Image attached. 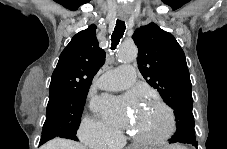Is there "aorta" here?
Masks as SVG:
<instances>
[{
    "instance_id": "obj_1",
    "label": "aorta",
    "mask_w": 227,
    "mask_h": 149,
    "mask_svg": "<svg viewBox=\"0 0 227 149\" xmlns=\"http://www.w3.org/2000/svg\"><path fill=\"white\" fill-rule=\"evenodd\" d=\"M117 56L122 62L134 61L137 57V49L133 46H123Z\"/></svg>"
}]
</instances>
